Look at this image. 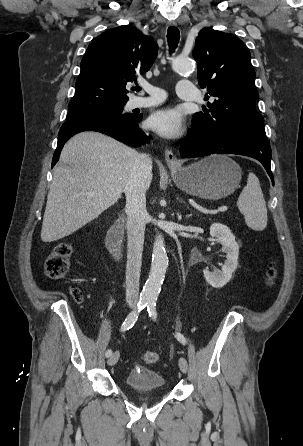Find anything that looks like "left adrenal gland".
<instances>
[{"mask_svg": "<svg viewBox=\"0 0 303 446\" xmlns=\"http://www.w3.org/2000/svg\"><path fill=\"white\" fill-rule=\"evenodd\" d=\"M181 202L185 203L183 200ZM190 216H191V214L186 215L187 218H189Z\"/></svg>", "mask_w": 303, "mask_h": 446, "instance_id": "obj_1", "label": "left adrenal gland"}]
</instances>
